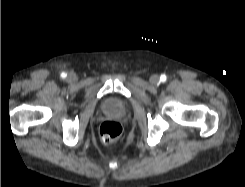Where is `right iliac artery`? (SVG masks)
<instances>
[{"label":"right iliac artery","instance_id":"82829eb1","mask_svg":"<svg viewBox=\"0 0 245 187\" xmlns=\"http://www.w3.org/2000/svg\"><path fill=\"white\" fill-rule=\"evenodd\" d=\"M67 76V74L65 72L61 73V77L65 78Z\"/></svg>","mask_w":245,"mask_h":187}]
</instances>
